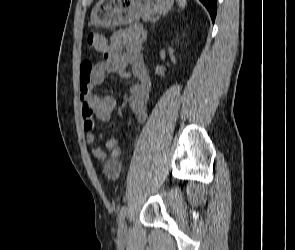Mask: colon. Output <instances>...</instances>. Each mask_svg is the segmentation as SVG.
<instances>
[{
	"instance_id": "1",
	"label": "colon",
	"mask_w": 295,
	"mask_h": 250,
	"mask_svg": "<svg viewBox=\"0 0 295 250\" xmlns=\"http://www.w3.org/2000/svg\"><path fill=\"white\" fill-rule=\"evenodd\" d=\"M107 39L103 34L94 32L90 33L87 37V43L96 51L101 50L106 45Z\"/></svg>"
}]
</instances>
